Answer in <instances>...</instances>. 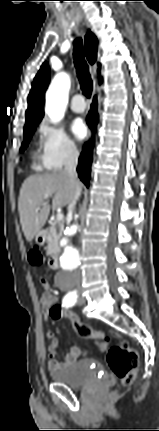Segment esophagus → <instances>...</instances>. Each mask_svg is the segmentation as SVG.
<instances>
[{
    "label": "esophagus",
    "instance_id": "esophagus-1",
    "mask_svg": "<svg viewBox=\"0 0 159 431\" xmlns=\"http://www.w3.org/2000/svg\"><path fill=\"white\" fill-rule=\"evenodd\" d=\"M90 137H91V131H89V134H88V139H90Z\"/></svg>",
    "mask_w": 159,
    "mask_h": 431
}]
</instances>
